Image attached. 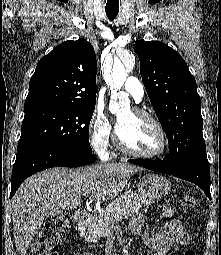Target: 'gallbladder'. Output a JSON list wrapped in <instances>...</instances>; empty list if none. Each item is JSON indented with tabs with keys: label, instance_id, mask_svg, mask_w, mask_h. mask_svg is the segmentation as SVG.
<instances>
[{
	"label": "gallbladder",
	"instance_id": "gallbladder-1",
	"mask_svg": "<svg viewBox=\"0 0 221 255\" xmlns=\"http://www.w3.org/2000/svg\"><path fill=\"white\" fill-rule=\"evenodd\" d=\"M61 210L57 209V210H54V211H51L47 214V217H54L55 215H58L60 214Z\"/></svg>",
	"mask_w": 221,
	"mask_h": 255
}]
</instances>
